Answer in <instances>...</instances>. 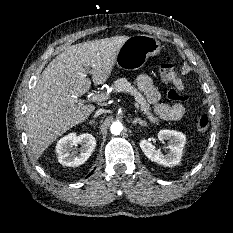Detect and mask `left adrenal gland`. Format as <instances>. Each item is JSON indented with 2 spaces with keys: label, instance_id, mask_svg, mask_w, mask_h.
I'll list each match as a JSON object with an SVG mask.
<instances>
[{
  "label": "left adrenal gland",
  "instance_id": "a2214340",
  "mask_svg": "<svg viewBox=\"0 0 233 233\" xmlns=\"http://www.w3.org/2000/svg\"><path fill=\"white\" fill-rule=\"evenodd\" d=\"M132 124H133V125L140 124L141 126H145V125H146L145 121L141 120L140 118H135V119L132 121Z\"/></svg>",
  "mask_w": 233,
  "mask_h": 233
}]
</instances>
